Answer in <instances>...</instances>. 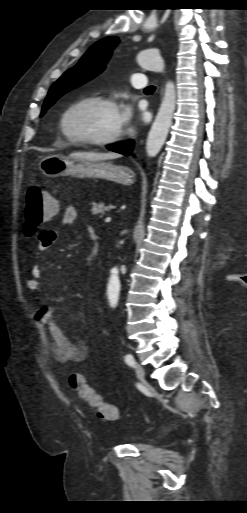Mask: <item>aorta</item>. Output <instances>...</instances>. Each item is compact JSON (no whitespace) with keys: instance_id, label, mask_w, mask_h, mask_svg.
<instances>
[{"instance_id":"aorta-1","label":"aorta","mask_w":247,"mask_h":513,"mask_svg":"<svg viewBox=\"0 0 247 513\" xmlns=\"http://www.w3.org/2000/svg\"><path fill=\"white\" fill-rule=\"evenodd\" d=\"M137 63L144 69L153 72H164L165 64L158 52L147 50L137 56ZM176 107V89L172 81L165 84L164 96L155 117V120L148 133L146 152L149 157H155L161 150L172 124V117ZM120 280L118 269L112 270L108 283V295L110 303L116 306L120 294Z\"/></svg>"}]
</instances>
